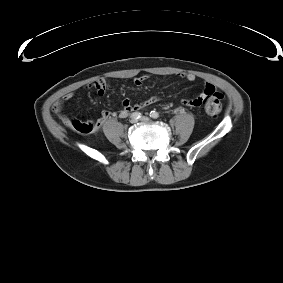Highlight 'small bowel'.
<instances>
[{"instance_id": "small-bowel-1", "label": "small bowel", "mask_w": 283, "mask_h": 283, "mask_svg": "<svg viewBox=\"0 0 283 283\" xmlns=\"http://www.w3.org/2000/svg\"><path fill=\"white\" fill-rule=\"evenodd\" d=\"M179 76L189 81H193L195 79V76L193 74H181ZM145 79H146L145 76L134 79V85L137 87H141ZM94 86L97 88L99 95H103L105 93V89H106L105 81H96L94 83ZM73 95L74 92H68L64 97L66 99H69L73 97ZM156 101L157 99L155 97H151L147 100L138 103H132L129 99L126 98L123 101V109L121 111L120 116L124 117L130 114L131 112L145 109L151 106L152 104H154ZM215 102L219 103V99L215 94V87L209 83H207L204 86L203 90L196 97L192 99L183 98L180 100V104L182 106H186L190 108H204L206 112L209 108V105ZM112 115H113L112 112L108 110H103L101 112L100 118L97 119L95 122L90 123L92 127L91 133H95L99 131L103 127V125L107 122V120L111 118ZM72 124L73 122L67 121V125L71 128H72Z\"/></svg>"}]
</instances>
